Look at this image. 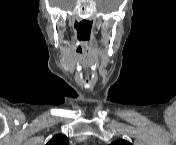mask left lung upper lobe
<instances>
[{"label": "left lung upper lobe", "instance_id": "left-lung-upper-lobe-1", "mask_svg": "<svg viewBox=\"0 0 176 145\" xmlns=\"http://www.w3.org/2000/svg\"><path fill=\"white\" fill-rule=\"evenodd\" d=\"M112 145H131V144L128 141L121 139L113 142Z\"/></svg>", "mask_w": 176, "mask_h": 145}]
</instances>
